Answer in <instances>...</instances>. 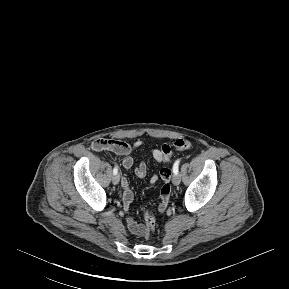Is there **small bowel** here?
I'll use <instances>...</instances> for the list:
<instances>
[{
	"label": "small bowel",
	"mask_w": 289,
	"mask_h": 289,
	"mask_svg": "<svg viewBox=\"0 0 289 289\" xmlns=\"http://www.w3.org/2000/svg\"><path fill=\"white\" fill-rule=\"evenodd\" d=\"M143 145L142 140H136L133 144H129L128 142L118 140V139H96L92 143V148L97 151L107 150L111 151L117 156L122 157V165L125 169H131L134 165V160L131 156V153L134 150H137L139 147ZM152 156L158 163H163V159L161 157L160 149H153ZM159 174L162 179V185L160 186V202L161 205L158 208L159 213L164 214L167 211L168 203L171 198V185L169 184V180L172 178V170L165 166L159 167ZM135 173L138 177L143 178L147 174V164L142 161L136 167ZM159 177L157 175H153L149 179L150 184H154L158 181ZM122 186L124 189L123 193V203L124 209L126 212L129 211V206L133 201V193L129 188V183L126 179L122 181ZM127 227L129 231L137 236L144 237L147 236L145 225L137 223L131 216L127 218Z\"/></svg>",
	"instance_id": "small-bowel-1"
}]
</instances>
